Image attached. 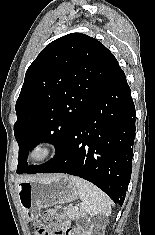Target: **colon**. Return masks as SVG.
Wrapping results in <instances>:
<instances>
[{
    "label": "colon",
    "mask_w": 155,
    "mask_h": 235,
    "mask_svg": "<svg viewBox=\"0 0 155 235\" xmlns=\"http://www.w3.org/2000/svg\"><path fill=\"white\" fill-rule=\"evenodd\" d=\"M37 235H50L44 228H37ZM66 235H80V231L78 229H71L66 232Z\"/></svg>",
    "instance_id": "colon-1"
}]
</instances>
